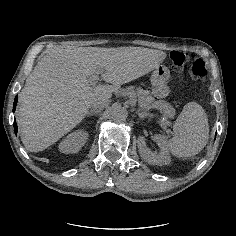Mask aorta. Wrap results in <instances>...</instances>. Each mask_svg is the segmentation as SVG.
<instances>
[{
    "label": "aorta",
    "mask_w": 236,
    "mask_h": 236,
    "mask_svg": "<svg viewBox=\"0 0 236 236\" xmlns=\"http://www.w3.org/2000/svg\"><path fill=\"white\" fill-rule=\"evenodd\" d=\"M112 118L116 121H124L128 117V111L121 105H114L111 111Z\"/></svg>",
    "instance_id": "762f6f07"
}]
</instances>
